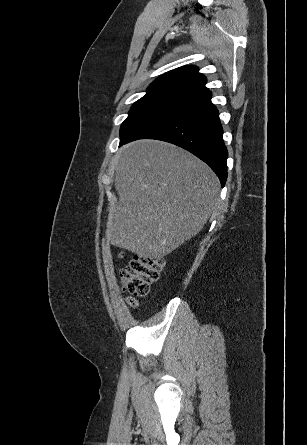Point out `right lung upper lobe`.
<instances>
[{"instance_id": "1", "label": "right lung upper lobe", "mask_w": 307, "mask_h": 445, "mask_svg": "<svg viewBox=\"0 0 307 445\" xmlns=\"http://www.w3.org/2000/svg\"><path fill=\"white\" fill-rule=\"evenodd\" d=\"M206 78L195 66H183L158 77L147 89L149 96H163L188 101L208 89Z\"/></svg>"}]
</instances>
